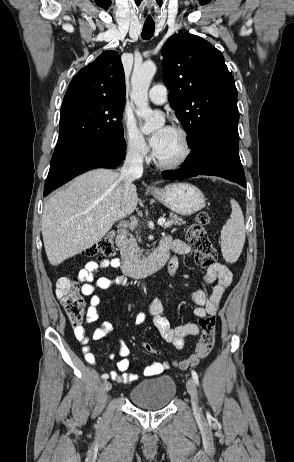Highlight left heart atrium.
Listing matches in <instances>:
<instances>
[{
  "label": "left heart atrium",
  "mask_w": 294,
  "mask_h": 462,
  "mask_svg": "<svg viewBox=\"0 0 294 462\" xmlns=\"http://www.w3.org/2000/svg\"><path fill=\"white\" fill-rule=\"evenodd\" d=\"M172 130V128L170 126H164L160 129H158L153 135L152 137L150 138V142H151V145L155 151V153H157L165 138L167 137V135L170 133V131Z\"/></svg>",
  "instance_id": "obj_1"
}]
</instances>
